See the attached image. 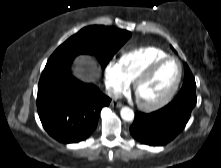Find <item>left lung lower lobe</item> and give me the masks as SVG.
Instances as JSON below:
<instances>
[{"label":"left lung lower lobe","mask_w":221,"mask_h":168,"mask_svg":"<svg viewBox=\"0 0 221 168\" xmlns=\"http://www.w3.org/2000/svg\"><path fill=\"white\" fill-rule=\"evenodd\" d=\"M195 87H182L162 109L152 113L136 112L131 135L143 144L162 146L172 141L186 126L196 105Z\"/></svg>","instance_id":"1"}]
</instances>
